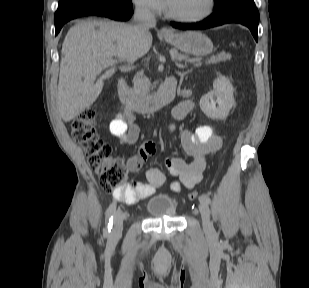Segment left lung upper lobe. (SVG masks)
<instances>
[{
	"mask_svg": "<svg viewBox=\"0 0 309 288\" xmlns=\"http://www.w3.org/2000/svg\"><path fill=\"white\" fill-rule=\"evenodd\" d=\"M233 0H214V11L219 10L220 8L224 7L227 5L229 2Z\"/></svg>",
	"mask_w": 309,
	"mask_h": 288,
	"instance_id": "5c2ea615",
	"label": "left lung upper lobe"
}]
</instances>
